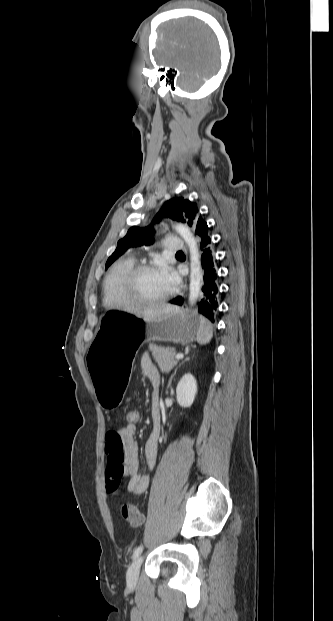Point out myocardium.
Listing matches in <instances>:
<instances>
[{
	"label": "myocardium",
	"mask_w": 333,
	"mask_h": 621,
	"mask_svg": "<svg viewBox=\"0 0 333 621\" xmlns=\"http://www.w3.org/2000/svg\"><path fill=\"white\" fill-rule=\"evenodd\" d=\"M162 269H163L162 266L158 263L138 264V265H134L131 269H129L124 274V276L121 278L120 283H119V292H120V295L123 301L126 304L145 305V306L159 305V304H162L168 301L173 295V289H171L163 297H160L157 299H144V298L137 296L133 292L134 282L140 274L144 272H148V271H158Z\"/></svg>",
	"instance_id": "f54148a6"
}]
</instances>
